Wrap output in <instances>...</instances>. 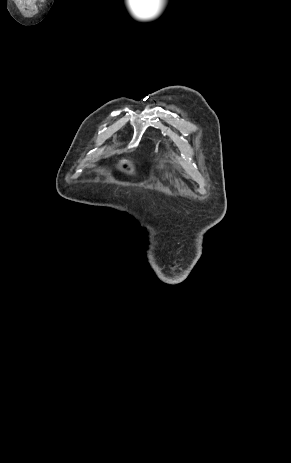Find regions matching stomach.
<instances>
[{
    "label": "stomach",
    "instance_id": "0dacf381",
    "mask_svg": "<svg viewBox=\"0 0 291 463\" xmlns=\"http://www.w3.org/2000/svg\"><path fill=\"white\" fill-rule=\"evenodd\" d=\"M122 166H123L124 170H126L127 172H132L133 171V166L131 164H129V163L123 162Z\"/></svg>",
    "mask_w": 291,
    "mask_h": 463
}]
</instances>
